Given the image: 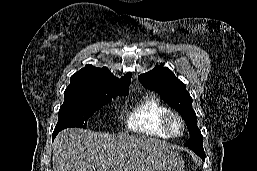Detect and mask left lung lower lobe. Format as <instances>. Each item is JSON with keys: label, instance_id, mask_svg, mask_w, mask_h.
<instances>
[{"label": "left lung lower lobe", "instance_id": "1", "mask_svg": "<svg viewBox=\"0 0 257 171\" xmlns=\"http://www.w3.org/2000/svg\"><path fill=\"white\" fill-rule=\"evenodd\" d=\"M197 155H199L203 160H205L204 150L194 151Z\"/></svg>", "mask_w": 257, "mask_h": 171}]
</instances>
